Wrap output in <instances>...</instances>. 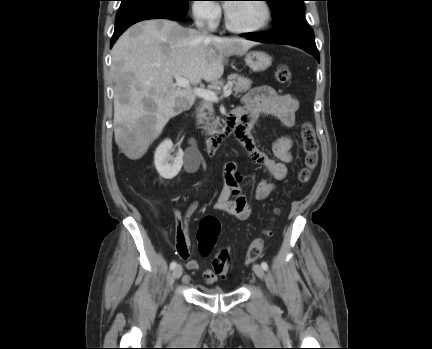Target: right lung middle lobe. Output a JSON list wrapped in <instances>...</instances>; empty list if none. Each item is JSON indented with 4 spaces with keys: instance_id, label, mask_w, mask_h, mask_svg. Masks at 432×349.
<instances>
[{
    "instance_id": "dd1d6c3e",
    "label": "right lung middle lobe",
    "mask_w": 432,
    "mask_h": 349,
    "mask_svg": "<svg viewBox=\"0 0 432 349\" xmlns=\"http://www.w3.org/2000/svg\"><path fill=\"white\" fill-rule=\"evenodd\" d=\"M118 14L127 13L139 8H159L183 17L188 11L190 0H120Z\"/></svg>"
}]
</instances>
